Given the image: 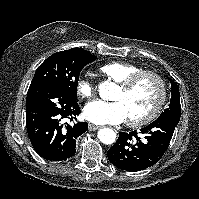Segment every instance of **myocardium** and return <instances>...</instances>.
I'll use <instances>...</instances> for the list:
<instances>
[{"instance_id":"1","label":"myocardium","mask_w":199,"mask_h":199,"mask_svg":"<svg viewBox=\"0 0 199 199\" xmlns=\"http://www.w3.org/2000/svg\"><path fill=\"white\" fill-rule=\"evenodd\" d=\"M145 77H151L157 82L159 86V95L153 108L148 114L140 118L127 119V124L132 127H139L153 122L161 113L163 106L165 105L167 100L168 91L164 78L157 72L151 70H141L130 75L125 80L119 83V88L123 91H128Z\"/></svg>"}]
</instances>
